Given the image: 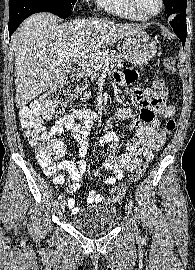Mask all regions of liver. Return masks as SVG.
<instances>
[{
  "mask_svg": "<svg viewBox=\"0 0 195 270\" xmlns=\"http://www.w3.org/2000/svg\"><path fill=\"white\" fill-rule=\"evenodd\" d=\"M141 31L139 26L109 19H75L61 23L50 13L28 17L12 35L15 53V102L18 108L61 84L70 72L71 57L62 52H99L120 38Z\"/></svg>",
  "mask_w": 195,
  "mask_h": 270,
  "instance_id": "1",
  "label": "liver"
}]
</instances>
